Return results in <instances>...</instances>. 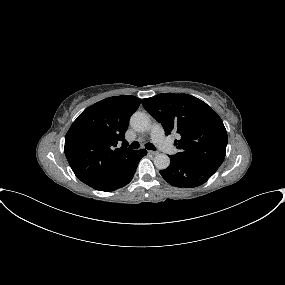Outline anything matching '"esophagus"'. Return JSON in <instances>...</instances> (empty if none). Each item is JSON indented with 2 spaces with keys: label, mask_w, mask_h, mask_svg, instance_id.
I'll list each match as a JSON object with an SVG mask.
<instances>
[{
  "label": "esophagus",
  "mask_w": 285,
  "mask_h": 285,
  "mask_svg": "<svg viewBox=\"0 0 285 285\" xmlns=\"http://www.w3.org/2000/svg\"><path fill=\"white\" fill-rule=\"evenodd\" d=\"M148 154L152 155V156H155L157 155L158 153L156 151H148Z\"/></svg>",
  "instance_id": "1"
}]
</instances>
